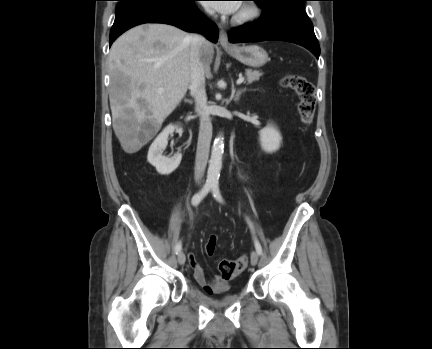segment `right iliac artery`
Masks as SVG:
<instances>
[{"label": "right iliac artery", "mask_w": 432, "mask_h": 349, "mask_svg": "<svg viewBox=\"0 0 432 349\" xmlns=\"http://www.w3.org/2000/svg\"><path fill=\"white\" fill-rule=\"evenodd\" d=\"M212 185L213 183L206 182L202 190L192 197L191 204L193 206H197L202 201V199L210 192V190L212 189ZM181 249H182V244L181 242H178L175 246L176 254H178L181 251Z\"/></svg>", "instance_id": "1"}]
</instances>
